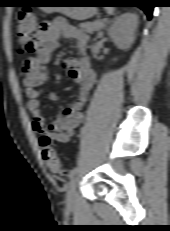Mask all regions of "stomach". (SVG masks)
Returning a JSON list of instances; mask_svg holds the SVG:
<instances>
[{
    "instance_id": "0dacf381",
    "label": "stomach",
    "mask_w": 170,
    "mask_h": 231,
    "mask_svg": "<svg viewBox=\"0 0 170 231\" xmlns=\"http://www.w3.org/2000/svg\"><path fill=\"white\" fill-rule=\"evenodd\" d=\"M44 4H74L75 1L70 0H47L43 1ZM72 7H40L47 13L60 12L74 19H87L92 16V13L88 11L86 7H75L77 5H71ZM74 6V7H73Z\"/></svg>"
}]
</instances>
